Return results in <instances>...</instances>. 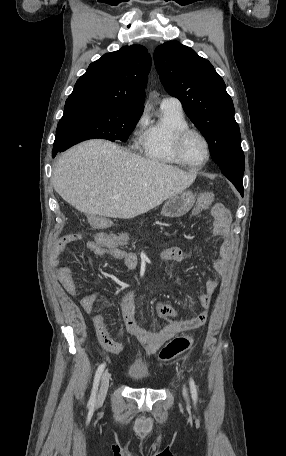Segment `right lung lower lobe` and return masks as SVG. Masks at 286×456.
<instances>
[{
	"mask_svg": "<svg viewBox=\"0 0 286 456\" xmlns=\"http://www.w3.org/2000/svg\"><path fill=\"white\" fill-rule=\"evenodd\" d=\"M57 152H61L58 148L53 147L52 157H55Z\"/></svg>",
	"mask_w": 286,
	"mask_h": 456,
	"instance_id": "1",
	"label": "right lung lower lobe"
}]
</instances>
